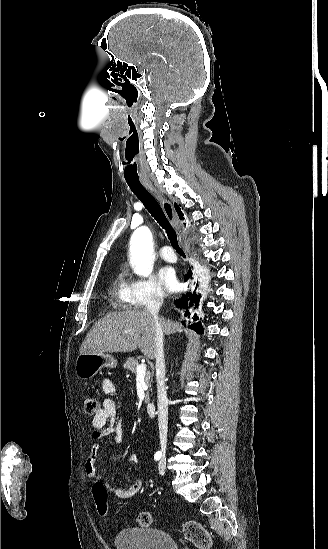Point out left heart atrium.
I'll list each match as a JSON object with an SVG mask.
<instances>
[{"mask_svg":"<svg viewBox=\"0 0 328 549\" xmlns=\"http://www.w3.org/2000/svg\"><path fill=\"white\" fill-rule=\"evenodd\" d=\"M159 282H160L161 288L166 293L173 292L176 288V285H177L176 278H175L173 272H171L168 269H164V270L161 271L160 277H159Z\"/></svg>","mask_w":328,"mask_h":549,"instance_id":"39dd6f15","label":"left heart atrium"}]
</instances>
